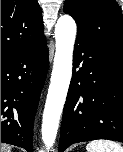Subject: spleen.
I'll return each mask as SVG.
<instances>
[{"label": "spleen", "mask_w": 123, "mask_h": 152, "mask_svg": "<svg viewBox=\"0 0 123 152\" xmlns=\"http://www.w3.org/2000/svg\"><path fill=\"white\" fill-rule=\"evenodd\" d=\"M87 152H123V147L110 140L91 141L86 146Z\"/></svg>", "instance_id": "1"}]
</instances>
